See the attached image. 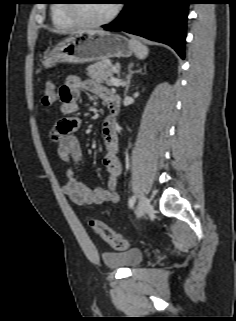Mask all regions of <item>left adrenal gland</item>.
<instances>
[{
	"label": "left adrenal gland",
	"instance_id": "left-adrenal-gland-1",
	"mask_svg": "<svg viewBox=\"0 0 236 321\" xmlns=\"http://www.w3.org/2000/svg\"><path fill=\"white\" fill-rule=\"evenodd\" d=\"M133 65H134L133 63H130L129 66H128V75L126 76L127 82H126V87H125V95L127 94L128 89H129V87H130L132 75H133L134 73H138V72H141V71H142V69L133 71V70H132Z\"/></svg>",
	"mask_w": 236,
	"mask_h": 321
}]
</instances>
